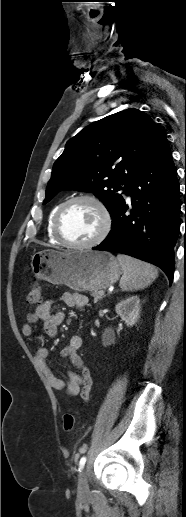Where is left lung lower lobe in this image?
I'll return each mask as SVG.
<instances>
[{
  "label": "left lung lower lobe",
  "mask_w": 186,
  "mask_h": 517,
  "mask_svg": "<svg viewBox=\"0 0 186 517\" xmlns=\"http://www.w3.org/2000/svg\"><path fill=\"white\" fill-rule=\"evenodd\" d=\"M132 210L125 203L112 217V229L94 250L116 251L161 268L172 283L174 246L181 209L177 171L164 138L141 170L130 180Z\"/></svg>",
  "instance_id": "obj_1"
}]
</instances>
